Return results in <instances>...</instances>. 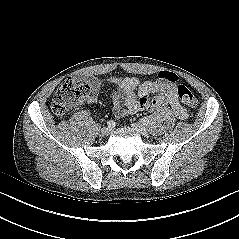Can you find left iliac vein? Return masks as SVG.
<instances>
[{"instance_id": "left-iliac-vein-1", "label": "left iliac vein", "mask_w": 239, "mask_h": 239, "mask_svg": "<svg viewBox=\"0 0 239 239\" xmlns=\"http://www.w3.org/2000/svg\"><path fill=\"white\" fill-rule=\"evenodd\" d=\"M132 128L136 130L139 134L146 136L148 134L147 129L140 123L138 122H133L131 124Z\"/></svg>"}]
</instances>
